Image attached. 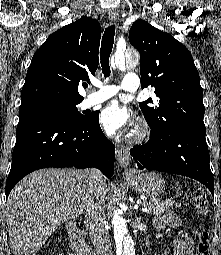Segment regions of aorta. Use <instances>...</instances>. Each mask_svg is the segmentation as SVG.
Returning a JSON list of instances; mask_svg holds the SVG:
<instances>
[{"instance_id": "1", "label": "aorta", "mask_w": 221, "mask_h": 255, "mask_svg": "<svg viewBox=\"0 0 221 255\" xmlns=\"http://www.w3.org/2000/svg\"><path fill=\"white\" fill-rule=\"evenodd\" d=\"M137 64L138 56L134 51H127L125 54L117 52L115 54V65L120 69L133 68ZM112 221L115 225L114 236L118 245L117 255H135L133 239L125 222L117 212H115Z\"/></svg>"}]
</instances>
